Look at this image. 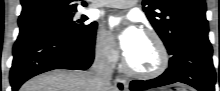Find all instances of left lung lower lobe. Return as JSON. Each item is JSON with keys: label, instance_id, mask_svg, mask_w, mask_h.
<instances>
[{"label": "left lung lower lobe", "instance_id": "obj_1", "mask_svg": "<svg viewBox=\"0 0 220 91\" xmlns=\"http://www.w3.org/2000/svg\"><path fill=\"white\" fill-rule=\"evenodd\" d=\"M210 42H188L174 49L169 68L159 77L148 81L134 80L132 91L160 87L175 82L188 84L199 91H214L215 70Z\"/></svg>", "mask_w": 220, "mask_h": 91}]
</instances>
